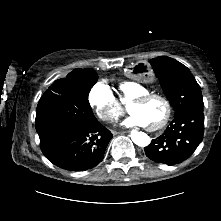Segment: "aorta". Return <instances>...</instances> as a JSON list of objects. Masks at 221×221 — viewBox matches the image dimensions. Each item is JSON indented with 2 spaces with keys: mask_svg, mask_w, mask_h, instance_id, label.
<instances>
[{
  "mask_svg": "<svg viewBox=\"0 0 221 221\" xmlns=\"http://www.w3.org/2000/svg\"><path fill=\"white\" fill-rule=\"evenodd\" d=\"M131 139L134 144L140 147L148 146L151 141L150 137L146 133L137 130H133L131 132Z\"/></svg>",
  "mask_w": 221,
  "mask_h": 221,
  "instance_id": "1",
  "label": "aorta"
}]
</instances>
